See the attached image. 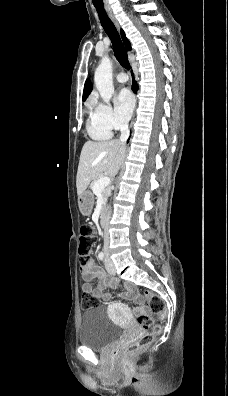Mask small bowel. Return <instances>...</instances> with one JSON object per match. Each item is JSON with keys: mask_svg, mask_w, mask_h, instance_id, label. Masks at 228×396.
<instances>
[{"mask_svg": "<svg viewBox=\"0 0 228 396\" xmlns=\"http://www.w3.org/2000/svg\"><path fill=\"white\" fill-rule=\"evenodd\" d=\"M80 271L82 278L85 281L81 288L83 293H89L103 301H109L111 299L110 294L104 292V288L108 286L117 287L119 282L115 278L108 276L101 267L95 264L93 260H91L87 266H81ZM95 278L98 280V286L93 288L89 281ZM124 287L126 289L125 297L132 300L135 304L132 312L137 316L145 314L147 312V308L142 304V300L136 293L134 286L131 284H125ZM115 306L122 310H127V308L122 304H117Z\"/></svg>", "mask_w": 228, "mask_h": 396, "instance_id": "c3829d8e", "label": "small bowel"}]
</instances>
